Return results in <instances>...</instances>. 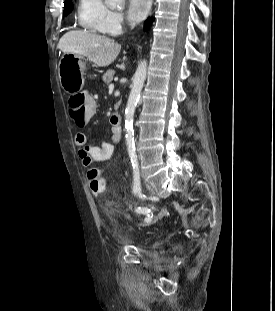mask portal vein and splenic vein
<instances>
[{
	"label": "portal vein and splenic vein",
	"mask_w": 275,
	"mask_h": 311,
	"mask_svg": "<svg viewBox=\"0 0 275 311\" xmlns=\"http://www.w3.org/2000/svg\"><path fill=\"white\" fill-rule=\"evenodd\" d=\"M114 88V85L113 84H110L109 85V89H113Z\"/></svg>",
	"instance_id": "portal-vein-and-splenic-vein-1"
}]
</instances>
